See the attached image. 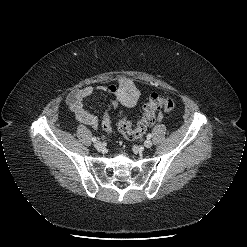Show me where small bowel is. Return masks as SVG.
Here are the masks:
<instances>
[{
  "instance_id": "small-bowel-1",
  "label": "small bowel",
  "mask_w": 247,
  "mask_h": 247,
  "mask_svg": "<svg viewBox=\"0 0 247 247\" xmlns=\"http://www.w3.org/2000/svg\"><path fill=\"white\" fill-rule=\"evenodd\" d=\"M96 92L117 95L119 88L115 84L98 88L86 87L70 92L66 99L69 109L74 113L77 120L93 128L98 127L99 117L85 107L84 101ZM159 117L161 118V116Z\"/></svg>"
}]
</instances>
